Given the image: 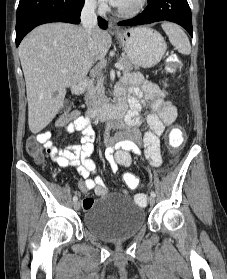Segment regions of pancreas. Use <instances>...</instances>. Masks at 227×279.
I'll use <instances>...</instances> for the list:
<instances>
[{
	"instance_id": "obj_1",
	"label": "pancreas",
	"mask_w": 227,
	"mask_h": 279,
	"mask_svg": "<svg viewBox=\"0 0 227 279\" xmlns=\"http://www.w3.org/2000/svg\"><path fill=\"white\" fill-rule=\"evenodd\" d=\"M118 63L123 66V72H130L133 70H138V67L133 65L126 57H120ZM86 104L90 108H97L105 101V88L104 81L98 79L95 82H91L86 89L85 94Z\"/></svg>"
}]
</instances>
